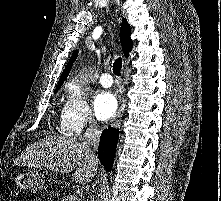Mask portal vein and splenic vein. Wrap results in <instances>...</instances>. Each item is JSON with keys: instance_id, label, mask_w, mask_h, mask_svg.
I'll return each instance as SVG.
<instances>
[{"instance_id": "1", "label": "portal vein and splenic vein", "mask_w": 221, "mask_h": 201, "mask_svg": "<svg viewBox=\"0 0 221 201\" xmlns=\"http://www.w3.org/2000/svg\"><path fill=\"white\" fill-rule=\"evenodd\" d=\"M77 198V196L73 195L69 197V201H75V199ZM78 199V198H77Z\"/></svg>"}]
</instances>
